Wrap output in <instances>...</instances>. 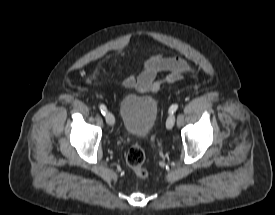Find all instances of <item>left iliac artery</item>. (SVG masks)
<instances>
[{"instance_id": "1", "label": "left iliac artery", "mask_w": 275, "mask_h": 215, "mask_svg": "<svg viewBox=\"0 0 275 215\" xmlns=\"http://www.w3.org/2000/svg\"><path fill=\"white\" fill-rule=\"evenodd\" d=\"M178 108L177 104H173L170 108H169V113L173 114Z\"/></svg>"}]
</instances>
